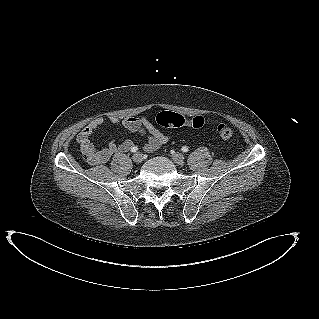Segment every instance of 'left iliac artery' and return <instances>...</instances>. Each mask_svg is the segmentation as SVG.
Instances as JSON below:
<instances>
[{
    "label": "left iliac artery",
    "mask_w": 319,
    "mask_h": 319,
    "mask_svg": "<svg viewBox=\"0 0 319 319\" xmlns=\"http://www.w3.org/2000/svg\"><path fill=\"white\" fill-rule=\"evenodd\" d=\"M181 150H182L183 152H188V151H189V149H188L187 146H182Z\"/></svg>",
    "instance_id": "obj_1"
}]
</instances>
